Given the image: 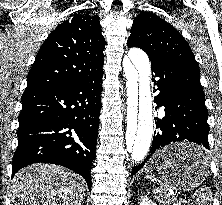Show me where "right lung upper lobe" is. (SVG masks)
Wrapping results in <instances>:
<instances>
[{
	"label": "right lung upper lobe",
	"mask_w": 222,
	"mask_h": 205,
	"mask_svg": "<svg viewBox=\"0 0 222 205\" xmlns=\"http://www.w3.org/2000/svg\"><path fill=\"white\" fill-rule=\"evenodd\" d=\"M104 48L99 16L75 14L41 46L25 91L70 85L98 74L103 71Z\"/></svg>",
	"instance_id": "obj_1"
}]
</instances>
